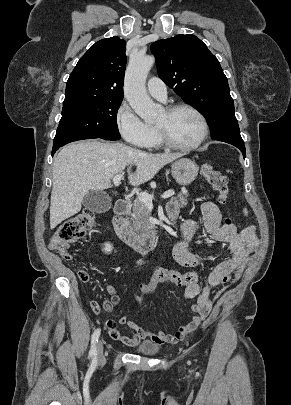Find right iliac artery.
<instances>
[{"instance_id":"1","label":"right iliac artery","mask_w":291,"mask_h":405,"mask_svg":"<svg viewBox=\"0 0 291 405\" xmlns=\"http://www.w3.org/2000/svg\"><path fill=\"white\" fill-rule=\"evenodd\" d=\"M140 263V261L138 262ZM101 330L98 328L94 331L91 339V349L89 351V356L96 358L97 351H96V343L98 342V338L100 336Z\"/></svg>"}]
</instances>
